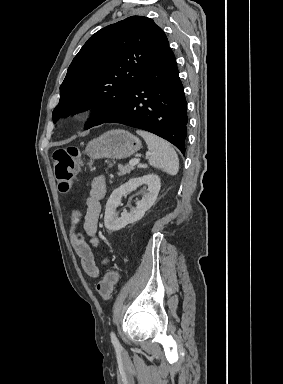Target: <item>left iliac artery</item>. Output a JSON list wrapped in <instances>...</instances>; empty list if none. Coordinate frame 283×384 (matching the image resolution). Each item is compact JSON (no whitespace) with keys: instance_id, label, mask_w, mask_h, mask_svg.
Here are the masks:
<instances>
[{"instance_id":"1","label":"left iliac artery","mask_w":283,"mask_h":384,"mask_svg":"<svg viewBox=\"0 0 283 384\" xmlns=\"http://www.w3.org/2000/svg\"><path fill=\"white\" fill-rule=\"evenodd\" d=\"M110 337H111V342H112L113 346L115 347V349L120 350L121 345H120L115 333L111 332Z\"/></svg>"}]
</instances>
